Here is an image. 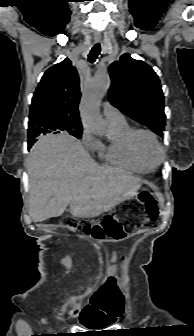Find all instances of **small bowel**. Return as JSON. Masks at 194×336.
<instances>
[{"mask_svg": "<svg viewBox=\"0 0 194 336\" xmlns=\"http://www.w3.org/2000/svg\"><path fill=\"white\" fill-rule=\"evenodd\" d=\"M115 259L116 255H113L112 261H115ZM120 298L114 280L108 279L105 286L95 292L87 318L82 324L87 327H109L113 325L120 316L118 306Z\"/></svg>", "mask_w": 194, "mask_h": 336, "instance_id": "1", "label": "small bowel"}]
</instances>
